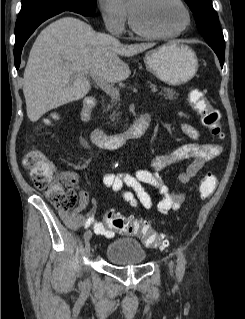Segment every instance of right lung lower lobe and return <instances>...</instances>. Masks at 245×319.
I'll return each mask as SVG.
<instances>
[{
    "label": "right lung lower lobe",
    "instance_id": "obj_1",
    "mask_svg": "<svg viewBox=\"0 0 245 319\" xmlns=\"http://www.w3.org/2000/svg\"><path fill=\"white\" fill-rule=\"evenodd\" d=\"M63 11H73L78 13L77 11L71 10V9H53V10L39 12L23 19H17L16 26H15V45H14L15 66L17 69L20 66V56H21L22 48L25 42L27 41V39L31 36V34L42 22Z\"/></svg>",
    "mask_w": 245,
    "mask_h": 319
}]
</instances>
